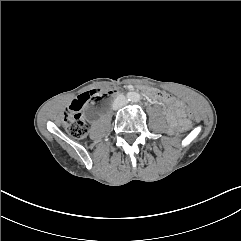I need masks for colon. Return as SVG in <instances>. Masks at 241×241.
Returning a JSON list of instances; mask_svg holds the SVG:
<instances>
[{"label": "colon", "instance_id": "obj_1", "mask_svg": "<svg viewBox=\"0 0 241 241\" xmlns=\"http://www.w3.org/2000/svg\"><path fill=\"white\" fill-rule=\"evenodd\" d=\"M158 94H162V93H158ZM100 95H102V92L99 90H91V91L85 92L81 94L72 103L70 108L65 112L63 122L67 132L71 137L75 139H81L85 137V135L87 134L88 128L86 123L83 121L81 114L79 113V110L89 100L98 98ZM182 132L184 134H189L191 132V127L189 125H184L182 129L178 126L173 129V134L175 136H180Z\"/></svg>", "mask_w": 241, "mask_h": 241}]
</instances>
